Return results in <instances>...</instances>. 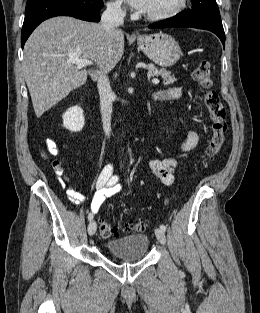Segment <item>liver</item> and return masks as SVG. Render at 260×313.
<instances>
[{
  "label": "liver",
  "instance_id": "liver-1",
  "mask_svg": "<svg viewBox=\"0 0 260 313\" xmlns=\"http://www.w3.org/2000/svg\"><path fill=\"white\" fill-rule=\"evenodd\" d=\"M124 52L121 30L108 36L99 23L59 16L42 22L24 46L22 70L37 117L84 85L98 70L81 69L71 56L93 61L100 69H113Z\"/></svg>",
  "mask_w": 260,
  "mask_h": 313
}]
</instances>
